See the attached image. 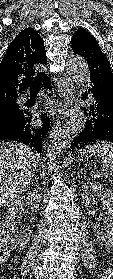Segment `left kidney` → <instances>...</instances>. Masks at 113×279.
Instances as JSON below:
<instances>
[{"label":"left kidney","instance_id":"left-kidney-1","mask_svg":"<svg viewBox=\"0 0 113 279\" xmlns=\"http://www.w3.org/2000/svg\"><path fill=\"white\" fill-rule=\"evenodd\" d=\"M82 204L85 208H90L93 204L92 197L97 195L101 198L103 209L106 211V222L103 228L96 223L93 224L94 234L99 243L105 246L113 245V193L111 190L104 188L92 182H87L82 189Z\"/></svg>","mask_w":113,"mask_h":279}]
</instances>
